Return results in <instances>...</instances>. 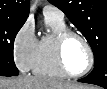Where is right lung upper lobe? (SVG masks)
Masks as SVG:
<instances>
[{"label":"right lung upper lobe","instance_id":"cb5924a9","mask_svg":"<svg viewBox=\"0 0 107 89\" xmlns=\"http://www.w3.org/2000/svg\"><path fill=\"white\" fill-rule=\"evenodd\" d=\"M29 15V0H0V18L26 21Z\"/></svg>","mask_w":107,"mask_h":89}]
</instances>
